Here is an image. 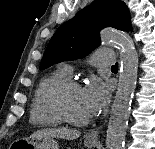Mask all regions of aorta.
I'll return each mask as SVG.
<instances>
[{
  "instance_id": "1",
  "label": "aorta",
  "mask_w": 155,
  "mask_h": 149,
  "mask_svg": "<svg viewBox=\"0 0 155 149\" xmlns=\"http://www.w3.org/2000/svg\"><path fill=\"white\" fill-rule=\"evenodd\" d=\"M101 40L120 48V74L107 128L106 149H123L136 87L138 56L132 39L125 33L106 29L101 32Z\"/></svg>"
}]
</instances>
